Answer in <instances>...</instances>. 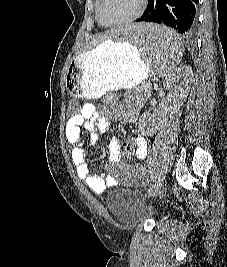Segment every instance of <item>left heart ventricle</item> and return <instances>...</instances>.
Masks as SVG:
<instances>
[{
	"instance_id": "1",
	"label": "left heart ventricle",
	"mask_w": 227,
	"mask_h": 267,
	"mask_svg": "<svg viewBox=\"0 0 227 267\" xmlns=\"http://www.w3.org/2000/svg\"><path fill=\"white\" fill-rule=\"evenodd\" d=\"M140 0H103L102 16L107 22H115L134 14L139 8Z\"/></svg>"
}]
</instances>
